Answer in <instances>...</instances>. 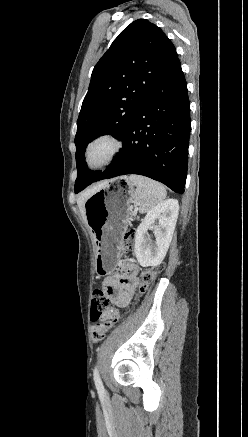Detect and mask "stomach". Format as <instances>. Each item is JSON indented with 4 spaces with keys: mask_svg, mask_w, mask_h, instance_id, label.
Returning <instances> with one entry per match:
<instances>
[{
    "mask_svg": "<svg viewBox=\"0 0 248 437\" xmlns=\"http://www.w3.org/2000/svg\"><path fill=\"white\" fill-rule=\"evenodd\" d=\"M121 181L127 184V189L121 186ZM132 202L133 188L127 177L105 183L85 201V218L93 238L99 275L110 274L115 268Z\"/></svg>",
    "mask_w": 248,
    "mask_h": 437,
    "instance_id": "stomach-1",
    "label": "stomach"
}]
</instances>
